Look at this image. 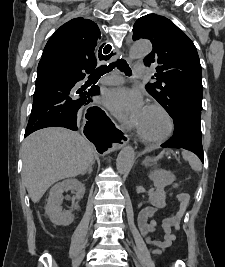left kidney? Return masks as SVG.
<instances>
[{
  "label": "left kidney",
  "instance_id": "left-kidney-1",
  "mask_svg": "<svg viewBox=\"0 0 225 267\" xmlns=\"http://www.w3.org/2000/svg\"><path fill=\"white\" fill-rule=\"evenodd\" d=\"M149 178L153 180L156 191L150 195L149 202L157 207L164 208L166 206V194L164 187L171 185L175 181V176L166 170H155L150 173ZM177 187V184L173 185Z\"/></svg>",
  "mask_w": 225,
  "mask_h": 267
}]
</instances>
